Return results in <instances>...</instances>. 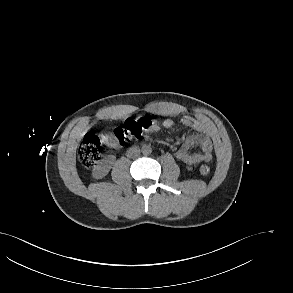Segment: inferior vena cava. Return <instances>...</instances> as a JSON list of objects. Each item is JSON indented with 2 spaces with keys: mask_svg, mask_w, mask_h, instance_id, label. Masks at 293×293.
Here are the masks:
<instances>
[{
  "mask_svg": "<svg viewBox=\"0 0 293 293\" xmlns=\"http://www.w3.org/2000/svg\"><path fill=\"white\" fill-rule=\"evenodd\" d=\"M140 154V149L137 147H131L128 151H127V157L131 158V157H136Z\"/></svg>",
  "mask_w": 293,
  "mask_h": 293,
  "instance_id": "obj_1",
  "label": "inferior vena cava"
}]
</instances>
